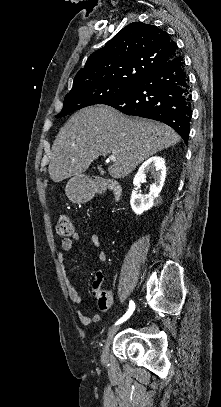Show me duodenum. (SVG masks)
Listing matches in <instances>:
<instances>
[{"label": "duodenum", "instance_id": "duodenum-1", "mask_svg": "<svg viewBox=\"0 0 221 407\" xmlns=\"http://www.w3.org/2000/svg\"><path fill=\"white\" fill-rule=\"evenodd\" d=\"M107 190L113 191L114 196H115V202L118 204L120 202V198H121V188L117 184L106 183V182L93 183L92 185H90L88 193H89V196H93V195H97L100 193H104Z\"/></svg>", "mask_w": 221, "mask_h": 407}]
</instances>
